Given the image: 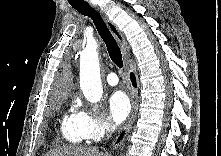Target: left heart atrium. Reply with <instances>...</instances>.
<instances>
[{
    "label": "left heart atrium",
    "mask_w": 221,
    "mask_h": 156,
    "mask_svg": "<svg viewBox=\"0 0 221 156\" xmlns=\"http://www.w3.org/2000/svg\"><path fill=\"white\" fill-rule=\"evenodd\" d=\"M109 111L112 121L121 124L130 114L131 102L122 91L114 92L109 98Z\"/></svg>",
    "instance_id": "1"
}]
</instances>
